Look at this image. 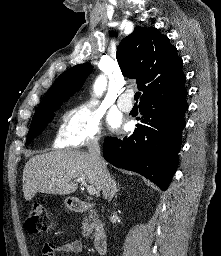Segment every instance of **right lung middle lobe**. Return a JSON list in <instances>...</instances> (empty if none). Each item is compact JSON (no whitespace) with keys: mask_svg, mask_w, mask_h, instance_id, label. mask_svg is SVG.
<instances>
[{"mask_svg":"<svg viewBox=\"0 0 221 256\" xmlns=\"http://www.w3.org/2000/svg\"><path fill=\"white\" fill-rule=\"evenodd\" d=\"M67 100V98H56L38 106L28 132L27 143H30L34 137L45 129L47 124L53 119L54 112Z\"/></svg>","mask_w":221,"mask_h":256,"instance_id":"1","label":"right lung middle lobe"}]
</instances>
